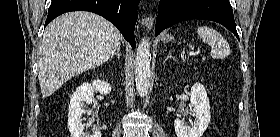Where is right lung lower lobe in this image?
<instances>
[{"mask_svg": "<svg viewBox=\"0 0 280 137\" xmlns=\"http://www.w3.org/2000/svg\"><path fill=\"white\" fill-rule=\"evenodd\" d=\"M139 2L140 0H52L45 26L65 12L89 11L113 23L132 48H135L134 29Z\"/></svg>", "mask_w": 280, "mask_h": 137, "instance_id": "obj_1", "label": "right lung lower lobe"}]
</instances>
